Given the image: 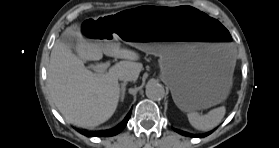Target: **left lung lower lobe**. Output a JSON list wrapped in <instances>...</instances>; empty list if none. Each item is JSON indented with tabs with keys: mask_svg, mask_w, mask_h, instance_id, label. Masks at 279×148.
<instances>
[{
	"mask_svg": "<svg viewBox=\"0 0 279 148\" xmlns=\"http://www.w3.org/2000/svg\"><path fill=\"white\" fill-rule=\"evenodd\" d=\"M176 132L182 134V135H185V136H189V137H198V138H201V137H205L207 135H209L210 133H207L205 135H193V134H190V133H187V132H183V131H180V130H177L175 129Z\"/></svg>",
	"mask_w": 279,
	"mask_h": 148,
	"instance_id": "left-lung-lower-lobe-1",
	"label": "left lung lower lobe"
}]
</instances>
